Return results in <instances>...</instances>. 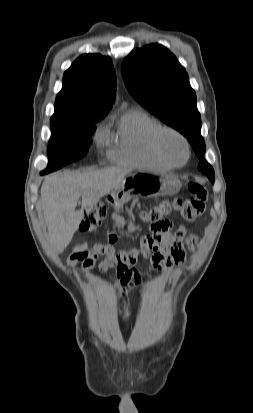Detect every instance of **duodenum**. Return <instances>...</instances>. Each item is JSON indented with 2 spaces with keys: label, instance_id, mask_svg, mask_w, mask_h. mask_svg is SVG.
Wrapping results in <instances>:
<instances>
[{
  "label": "duodenum",
  "instance_id": "obj_1",
  "mask_svg": "<svg viewBox=\"0 0 253 413\" xmlns=\"http://www.w3.org/2000/svg\"><path fill=\"white\" fill-rule=\"evenodd\" d=\"M116 239H117V236H116V234H111V236H110V240L112 241V242H115L116 241Z\"/></svg>",
  "mask_w": 253,
  "mask_h": 413
}]
</instances>
